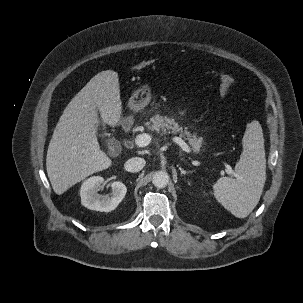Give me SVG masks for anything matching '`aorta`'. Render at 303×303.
I'll list each match as a JSON object with an SVG mask.
<instances>
[{
    "mask_svg": "<svg viewBox=\"0 0 303 303\" xmlns=\"http://www.w3.org/2000/svg\"><path fill=\"white\" fill-rule=\"evenodd\" d=\"M152 183L157 188H164L169 183V175L165 171H157L152 178Z\"/></svg>",
    "mask_w": 303,
    "mask_h": 303,
    "instance_id": "1",
    "label": "aorta"
}]
</instances>
